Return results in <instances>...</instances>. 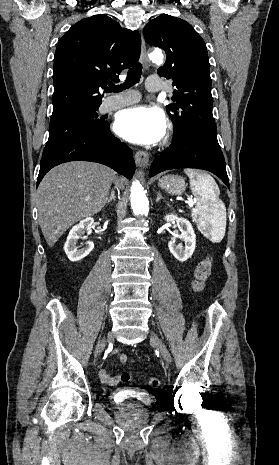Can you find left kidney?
<instances>
[{"mask_svg":"<svg viewBox=\"0 0 279 465\" xmlns=\"http://www.w3.org/2000/svg\"><path fill=\"white\" fill-rule=\"evenodd\" d=\"M165 220L167 222H176V225L181 232L179 239L184 242L185 246L183 247V243L177 245L175 240H171L168 243V247L170 252L178 261L184 262L189 259L195 251L196 235L193 227L187 219L178 217L174 214L166 215Z\"/></svg>","mask_w":279,"mask_h":465,"instance_id":"left-kidney-1","label":"left kidney"}]
</instances>
